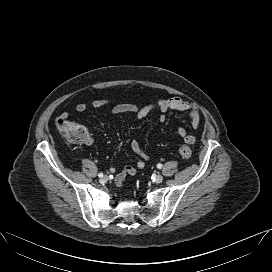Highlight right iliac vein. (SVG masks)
<instances>
[{
	"label": "right iliac vein",
	"mask_w": 272,
	"mask_h": 272,
	"mask_svg": "<svg viewBox=\"0 0 272 272\" xmlns=\"http://www.w3.org/2000/svg\"><path fill=\"white\" fill-rule=\"evenodd\" d=\"M108 180L107 176H103L100 178V183H106Z\"/></svg>",
	"instance_id": "1"
}]
</instances>
